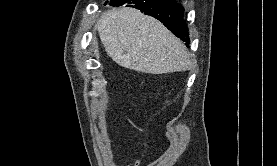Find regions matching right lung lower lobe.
I'll return each mask as SVG.
<instances>
[{"instance_id":"98d812e1","label":"right lung lower lobe","mask_w":277,"mask_h":166,"mask_svg":"<svg viewBox=\"0 0 277 166\" xmlns=\"http://www.w3.org/2000/svg\"><path fill=\"white\" fill-rule=\"evenodd\" d=\"M128 3L147 15L160 20L172 33L185 41L188 45L189 33L183 20V8L175 0H119L111 6H120Z\"/></svg>"}]
</instances>
